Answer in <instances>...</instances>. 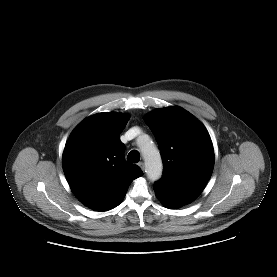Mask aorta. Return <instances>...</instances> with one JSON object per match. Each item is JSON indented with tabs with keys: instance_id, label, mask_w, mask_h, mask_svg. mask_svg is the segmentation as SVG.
<instances>
[{
	"instance_id": "762f6f07",
	"label": "aorta",
	"mask_w": 277,
	"mask_h": 277,
	"mask_svg": "<svg viewBox=\"0 0 277 277\" xmlns=\"http://www.w3.org/2000/svg\"><path fill=\"white\" fill-rule=\"evenodd\" d=\"M138 144L145 162L146 174L148 179L153 182L159 180L163 171V165L159 150L150 140L148 135L140 136Z\"/></svg>"
}]
</instances>
